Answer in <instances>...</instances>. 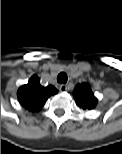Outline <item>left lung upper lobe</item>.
Segmentation results:
<instances>
[{"label":"left lung upper lobe","mask_w":122,"mask_h":154,"mask_svg":"<svg viewBox=\"0 0 122 154\" xmlns=\"http://www.w3.org/2000/svg\"><path fill=\"white\" fill-rule=\"evenodd\" d=\"M76 104L83 109H94L97 99L91 91V87L87 83L77 85L73 92Z\"/></svg>","instance_id":"left-lung-upper-lobe-1"}]
</instances>
